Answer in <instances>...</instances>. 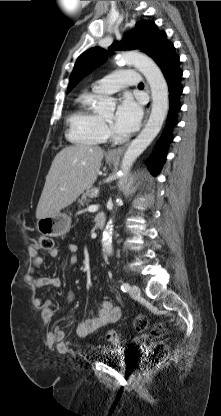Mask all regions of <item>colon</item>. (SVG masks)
I'll list each match as a JSON object with an SVG mask.
<instances>
[{"label":"colon","mask_w":221,"mask_h":416,"mask_svg":"<svg viewBox=\"0 0 221 416\" xmlns=\"http://www.w3.org/2000/svg\"><path fill=\"white\" fill-rule=\"evenodd\" d=\"M39 247L42 250H47V251H51L54 249V240L52 237L50 236H41L39 238ZM148 322L146 317L140 315L135 319V328L138 331H143L147 328ZM161 325L157 326V330H161ZM106 339L109 342H117L118 341V334L115 330H109L106 333ZM168 353V348L167 346L161 342L158 341L156 343H154L145 360V365L146 367H155L158 364H160L167 356Z\"/></svg>","instance_id":"1"}]
</instances>
